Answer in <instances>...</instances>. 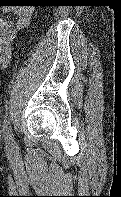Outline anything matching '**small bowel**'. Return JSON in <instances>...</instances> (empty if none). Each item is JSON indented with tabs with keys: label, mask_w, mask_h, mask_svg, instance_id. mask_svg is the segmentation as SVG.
Returning a JSON list of instances; mask_svg holds the SVG:
<instances>
[{
	"label": "small bowel",
	"mask_w": 121,
	"mask_h": 197,
	"mask_svg": "<svg viewBox=\"0 0 121 197\" xmlns=\"http://www.w3.org/2000/svg\"><path fill=\"white\" fill-rule=\"evenodd\" d=\"M0 6L1 13H8L13 11L17 16L15 22L0 17V68H4L11 60L12 44L18 32L24 30L29 25L31 12L25 6Z\"/></svg>",
	"instance_id": "small-bowel-1"
}]
</instances>
